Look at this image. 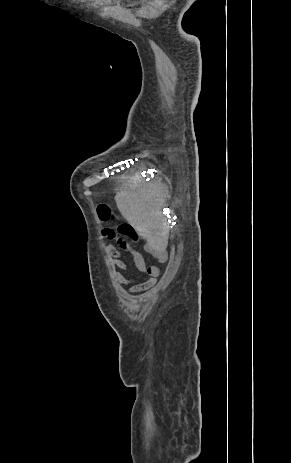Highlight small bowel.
<instances>
[{
    "instance_id": "small-bowel-1",
    "label": "small bowel",
    "mask_w": 291,
    "mask_h": 463,
    "mask_svg": "<svg viewBox=\"0 0 291 463\" xmlns=\"http://www.w3.org/2000/svg\"><path fill=\"white\" fill-rule=\"evenodd\" d=\"M107 250L111 255V263L116 269L114 271V278L116 281H118L121 284H130V287L128 288L129 292L131 293H139L146 291L148 289H151L157 282V278L160 274L159 269L156 266H147L144 256L135 250L132 246H130L126 240L122 238H118L117 240V246L114 245H108ZM121 250L127 251L134 262L135 267L137 270L141 273H145L148 275L147 279L142 282L135 284L134 279L127 278L124 276L120 270L126 271L127 266L125 262L122 260L121 256ZM148 251L154 255L159 261H162L165 259V253L156 248H148Z\"/></svg>"
}]
</instances>
